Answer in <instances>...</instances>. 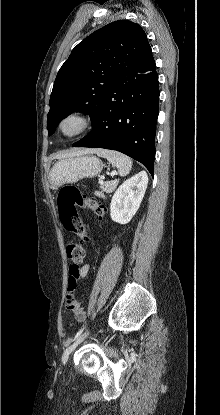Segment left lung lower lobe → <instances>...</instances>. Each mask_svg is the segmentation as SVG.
I'll use <instances>...</instances> for the list:
<instances>
[{
	"label": "left lung lower lobe",
	"instance_id": "left-lung-lower-lobe-1",
	"mask_svg": "<svg viewBox=\"0 0 220 415\" xmlns=\"http://www.w3.org/2000/svg\"><path fill=\"white\" fill-rule=\"evenodd\" d=\"M159 112L154 58L141 69L121 75L92 121V131L73 144L116 150L141 162L154 175Z\"/></svg>",
	"mask_w": 220,
	"mask_h": 415
}]
</instances>
